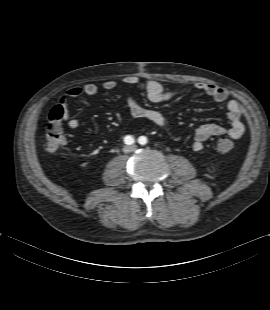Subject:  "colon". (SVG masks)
<instances>
[{"label": "colon", "instance_id": "colon-1", "mask_svg": "<svg viewBox=\"0 0 270 310\" xmlns=\"http://www.w3.org/2000/svg\"><path fill=\"white\" fill-rule=\"evenodd\" d=\"M62 120L63 110L55 105L50 111L46 128V150L49 153L57 152L65 143ZM216 148L221 153L230 152L233 142L227 137H220L216 142Z\"/></svg>", "mask_w": 270, "mask_h": 310}]
</instances>
